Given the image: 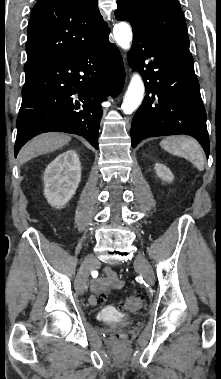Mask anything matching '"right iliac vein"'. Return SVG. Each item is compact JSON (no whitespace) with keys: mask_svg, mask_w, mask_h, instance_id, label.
I'll return each instance as SVG.
<instances>
[{"mask_svg":"<svg viewBox=\"0 0 221 379\" xmlns=\"http://www.w3.org/2000/svg\"><path fill=\"white\" fill-rule=\"evenodd\" d=\"M95 262H96V257L93 254L87 255L83 261L81 272L79 276L77 277L76 283H75V289L80 295H82L86 289V281H87L89 272L91 268L94 266Z\"/></svg>","mask_w":221,"mask_h":379,"instance_id":"1","label":"right iliac vein"}]
</instances>
